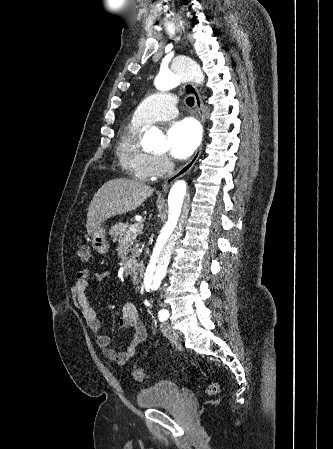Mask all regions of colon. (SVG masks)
Masks as SVG:
<instances>
[{
	"label": "colon",
	"mask_w": 333,
	"mask_h": 449,
	"mask_svg": "<svg viewBox=\"0 0 333 449\" xmlns=\"http://www.w3.org/2000/svg\"><path fill=\"white\" fill-rule=\"evenodd\" d=\"M77 256L79 257V259L82 262H88L91 257L90 247L88 245L80 246L77 250ZM133 377L137 381H143L145 379L146 375L142 368H137L133 371ZM218 390H219V386L216 382H212L208 386V389H207L208 393L211 395L216 394L218 392Z\"/></svg>",
	"instance_id": "5ec220e1"
}]
</instances>
